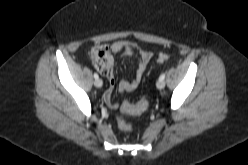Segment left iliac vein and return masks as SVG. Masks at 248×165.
I'll return each mask as SVG.
<instances>
[{
	"label": "left iliac vein",
	"mask_w": 248,
	"mask_h": 165,
	"mask_svg": "<svg viewBox=\"0 0 248 165\" xmlns=\"http://www.w3.org/2000/svg\"><path fill=\"white\" fill-rule=\"evenodd\" d=\"M158 89H163L165 87V81L164 80H158L156 84Z\"/></svg>",
	"instance_id": "4c4485c4"
}]
</instances>
